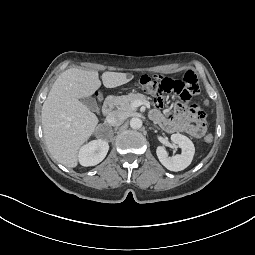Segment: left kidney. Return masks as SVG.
Segmentation results:
<instances>
[{"mask_svg": "<svg viewBox=\"0 0 255 255\" xmlns=\"http://www.w3.org/2000/svg\"><path fill=\"white\" fill-rule=\"evenodd\" d=\"M171 141L182 149V153L170 157L164 147L158 146L156 149L157 157L161 164L170 171L184 170L192 162L195 153L194 144L188 137L180 133L172 134Z\"/></svg>", "mask_w": 255, "mask_h": 255, "instance_id": "1", "label": "left kidney"}]
</instances>
